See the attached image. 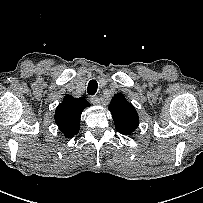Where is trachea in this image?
Wrapping results in <instances>:
<instances>
[{"mask_svg": "<svg viewBox=\"0 0 203 203\" xmlns=\"http://www.w3.org/2000/svg\"><path fill=\"white\" fill-rule=\"evenodd\" d=\"M98 89V83L95 80H91L88 83V88H87V92L89 95H94L97 92Z\"/></svg>", "mask_w": 203, "mask_h": 203, "instance_id": "3493384b", "label": "trachea"}]
</instances>
